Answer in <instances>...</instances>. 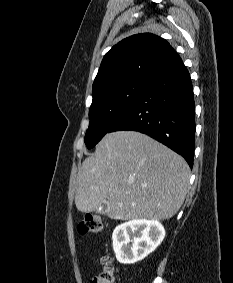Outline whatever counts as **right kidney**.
Segmentation results:
<instances>
[{
  "label": "right kidney",
  "instance_id": "ca27d5eb",
  "mask_svg": "<svg viewBox=\"0 0 233 283\" xmlns=\"http://www.w3.org/2000/svg\"><path fill=\"white\" fill-rule=\"evenodd\" d=\"M164 237L165 229L159 221L134 219L115 228L113 250L120 263L134 264L152 253Z\"/></svg>",
  "mask_w": 233,
  "mask_h": 283
}]
</instances>
